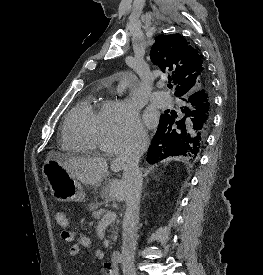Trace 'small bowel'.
Returning <instances> with one entry per match:
<instances>
[{
  "label": "small bowel",
  "instance_id": "small-bowel-1",
  "mask_svg": "<svg viewBox=\"0 0 263 275\" xmlns=\"http://www.w3.org/2000/svg\"><path fill=\"white\" fill-rule=\"evenodd\" d=\"M70 237L69 239H65L63 237V234L61 233V239L64 241V242H71L73 241V238H74V235L68 231ZM91 245V240L88 236L86 235H80L77 239V242L76 243H73L70 247H69V250H68V253H69V256L72 257V258H75L79 255L80 253V250L81 249H86V248H89ZM117 273V270L115 272H110L108 270L105 269V275H116Z\"/></svg>",
  "mask_w": 263,
  "mask_h": 275
}]
</instances>
